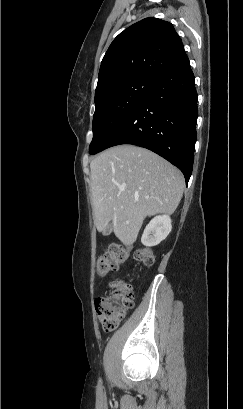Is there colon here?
Segmentation results:
<instances>
[{"mask_svg":"<svg viewBox=\"0 0 243 409\" xmlns=\"http://www.w3.org/2000/svg\"><path fill=\"white\" fill-rule=\"evenodd\" d=\"M129 249L125 246L113 244L97 259V273L106 276L116 271L128 258ZM134 257L145 265L154 263L153 252L149 247H142L135 251ZM112 294L99 297L96 309L100 324L105 332H113L132 307L134 294L131 285L125 281H116L111 284Z\"/></svg>","mask_w":243,"mask_h":409,"instance_id":"obj_1","label":"colon"}]
</instances>
